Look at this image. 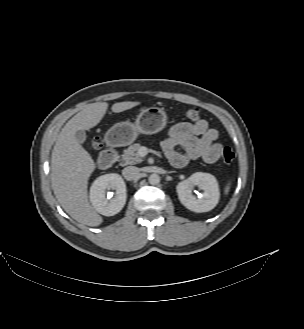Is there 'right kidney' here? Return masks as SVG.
<instances>
[{"label":"right kidney","mask_w":304,"mask_h":329,"mask_svg":"<svg viewBox=\"0 0 304 329\" xmlns=\"http://www.w3.org/2000/svg\"><path fill=\"white\" fill-rule=\"evenodd\" d=\"M114 190V197L106 198V193ZM90 201L94 209L104 215L113 216L120 212L126 203V185L120 175L111 173L98 177L90 188Z\"/></svg>","instance_id":"right-kidney-1"}]
</instances>
